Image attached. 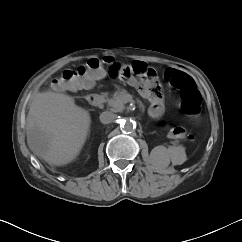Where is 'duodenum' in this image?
Wrapping results in <instances>:
<instances>
[{
  "label": "duodenum",
  "instance_id": "obj_1",
  "mask_svg": "<svg viewBox=\"0 0 242 242\" xmlns=\"http://www.w3.org/2000/svg\"><path fill=\"white\" fill-rule=\"evenodd\" d=\"M87 102L93 107H99L103 103V97L99 94L92 93L87 96Z\"/></svg>",
  "mask_w": 242,
  "mask_h": 242
}]
</instances>
